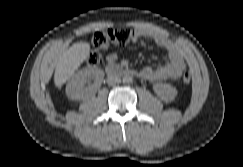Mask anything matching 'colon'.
I'll list each match as a JSON object with an SVG mask.
<instances>
[{
	"mask_svg": "<svg viewBox=\"0 0 243 167\" xmlns=\"http://www.w3.org/2000/svg\"><path fill=\"white\" fill-rule=\"evenodd\" d=\"M132 31L128 27L108 28L95 32L93 36V47L87 58V64L91 67H97L103 62L102 52L111 47H125L132 39ZM183 82H191V75L185 73L182 78Z\"/></svg>",
	"mask_w": 243,
	"mask_h": 167,
	"instance_id": "1",
	"label": "colon"
}]
</instances>
